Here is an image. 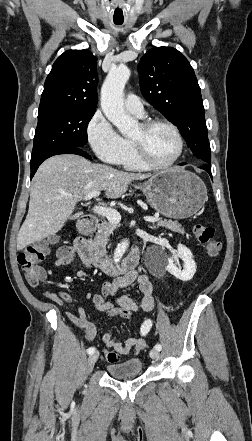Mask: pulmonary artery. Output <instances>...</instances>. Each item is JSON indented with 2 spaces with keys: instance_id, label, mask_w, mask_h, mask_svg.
<instances>
[{
  "instance_id": "1",
  "label": "pulmonary artery",
  "mask_w": 252,
  "mask_h": 441,
  "mask_svg": "<svg viewBox=\"0 0 252 441\" xmlns=\"http://www.w3.org/2000/svg\"><path fill=\"white\" fill-rule=\"evenodd\" d=\"M125 109L137 117H143L145 110L142 101L135 94H129L124 100Z\"/></svg>"
}]
</instances>
